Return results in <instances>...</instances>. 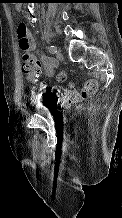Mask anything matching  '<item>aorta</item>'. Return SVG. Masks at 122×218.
<instances>
[{
    "label": "aorta",
    "instance_id": "1",
    "mask_svg": "<svg viewBox=\"0 0 122 218\" xmlns=\"http://www.w3.org/2000/svg\"><path fill=\"white\" fill-rule=\"evenodd\" d=\"M30 12H33V7H29Z\"/></svg>",
    "mask_w": 122,
    "mask_h": 218
}]
</instances>
